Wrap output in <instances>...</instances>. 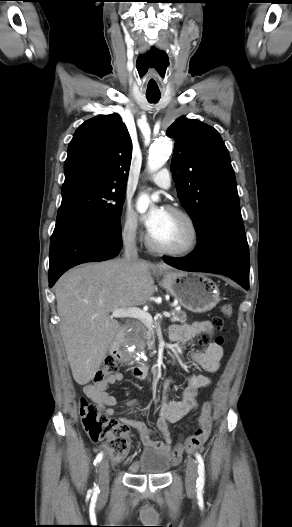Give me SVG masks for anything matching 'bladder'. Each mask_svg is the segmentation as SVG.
I'll use <instances>...</instances> for the list:
<instances>
[{"label": "bladder", "instance_id": "bladder-1", "mask_svg": "<svg viewBox=\"0 0 292 527\" xmlns=\"http://www.w3.org/2000/svg\"><path fill=\"white\" fill-rule=\"evenodd\" d=\"M170 465L169 458L165 454L155 449H148L134 462L133 469L138 473L161 475L168 471Z\"/></svg>", "mask_w": 292, "mask_h": 527}]
</instances>
